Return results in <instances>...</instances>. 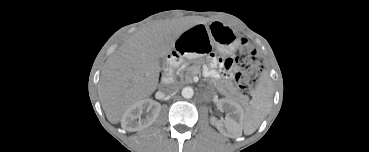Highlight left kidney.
I'll return each mask as SVG.
<instances>
[{
    "label": "left kidney",
    "mask_w": 369,
    "mask_h": 152,
    "mask_svg": "<svg viewBox=\"0 0 369 152\" xmlns=\"http://www.w3.org/2000/svg\"><path fill=\"white\" fill-rule=\"evenodd\" d=\"M219 108L229 111L226 119V124L231 129H238L242 120L244 119V111L242 107L235 101L230 99H220L218 103ZM211 124L215 125L217 128L221 127V123L216 119H210Z\"/></svg>",
    "instance_id": "5707ae66"
}]
</instances>
